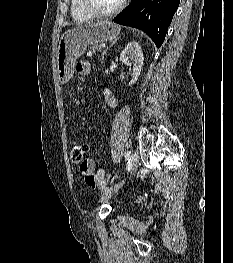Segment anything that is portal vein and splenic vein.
Returning <instances> with one entry per match:
<instances>
[{"instance_id":"1","label":"portal vein and splenic vein","mask_w":233,"mask_h":263,"mask_svg":"<svg viewBox=\"0 0 233 263\" xmlns=\"http://www.w3.org/2000/svg\"><path fill=\"white\" fill-rule=\"evenodd\" d=\"M87 55H88V56H92V52H88Z\"/></svg>"}]
</instances>
